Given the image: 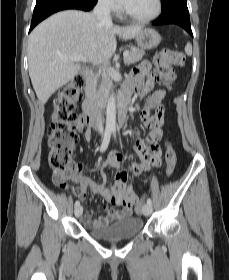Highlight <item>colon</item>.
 <instances>
[{"mask_svg": "<svg viewBox=\"0 0 229 280\" xmlns=\"http://www.w3.org/2000/svg\"><path fill=\"white\" fill-rule=\"evenodd\" d=\"M184 63L185 56L182 52L171 49L161 50L155 57L156 79L162 83L175 79L173 66H183ZM85 83L83 77L76 76L53 98L51 122L47 130L48 163L54 170V183L64 189L67 188L66 170L72 163L78 132L86 126L85 121L74 111L76 101L82 99ZM159 122L160 118L154 116L151 125H157ZM165 159L167 174L172 175L176 167V154L171 143L167 144ZM128 203L135 205L136 211L141 212L142 203L136 198H131Z\"/></svg>", "mask_w": 229, "mask_h": 280, "instance_id": "obj_1", "label": "colon"}]
</instances>
